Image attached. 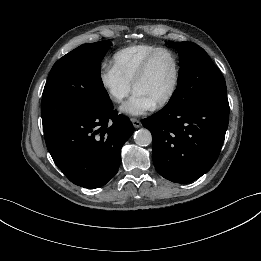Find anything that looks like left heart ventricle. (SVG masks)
<instances>
[{
  "mask_svg": "<svg viewBox=\"0 0 261 261\" xmlns=\"http://www.w3.org/2000/svg\"><path fill=\"white\" fill-rule=\"evenodd\" d=\"M174 78V63L172 57L161 52L151 62L145 78L135 87L154 104L160 101L169 91Z\"/></svg>",
  "mask_w": 261,
  "mask_h": 261,
  "instance_id": "b2bd125f",
  "label": "left heart ventricle"
}]
</instances>
